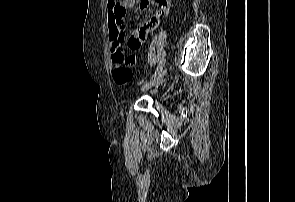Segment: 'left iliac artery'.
I'll return each instance as SVG.
<instances>
[{"label":"left iliac artery","mask_w":295,"mask_h":202,"mask_svg":"<svg viewBox=\"0 0 295 202\" xmlns=\"http://www.w3.org/2000/svg\"><path fill=\"white\" fill-rule=\"evenodd\" d=\"M164 64H165V61H164V59H162V60L159 62L158 66H157V68H156V71H155V73L153 74L152 77L156 76L157 73H159V72L163 69Z\"/></svg>","instance_id":"left-iliac-artery-1"}]
</instances>
